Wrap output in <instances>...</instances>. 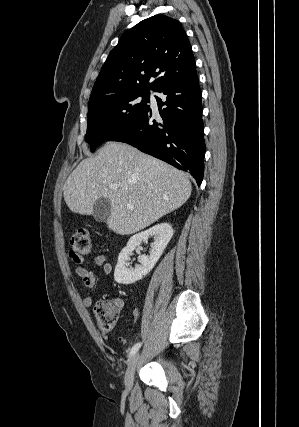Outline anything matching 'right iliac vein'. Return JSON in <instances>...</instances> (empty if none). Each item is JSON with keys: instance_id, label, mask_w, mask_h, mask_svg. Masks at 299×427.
<instances>
[{"instance_id": "right-iliac-vein-1", "label": "right iliac vein", "mask_w": 299, "mask_h": 427, "mask_svg": "<svg viewBox=\"0 0 299 427\" xmlns=\"http://www.w3.org/2000/svg\"><path fill=\"white\" fill-rule=\"evenodd\" d=\"M139 360V353H136L132 356L128 363V367L125 373L124 384L127 390H130L133 385L134 373L136 370V366Z\"/></svg>"}]
</instances>
